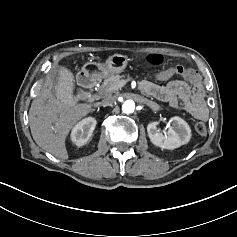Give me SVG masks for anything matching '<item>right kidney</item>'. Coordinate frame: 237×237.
Returning a JSON list of instances; mask_svg holds the SVG:
<instances>
[{"mask_svg": "<svg viewBox=\"0 0 237 237\" xmlns=\"http://www.w3.org/2000/svg\"><path fill=\"white\" fill-rule=\"evenodd\" d=\"M97 122L93 117H87L76 124L71 132V140L77 146H83L92 136Z\"/></svg>", "mask_w": 237, "mask_h": 237, "instance_id": "1", "label": "right kidney"}]
</instances>
